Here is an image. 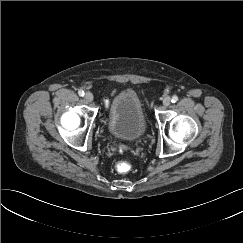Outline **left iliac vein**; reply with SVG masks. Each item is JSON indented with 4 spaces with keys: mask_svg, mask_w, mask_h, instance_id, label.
I'll list each match as a JSON object with an SVG mask.
<instances>
[{
    "mask_svg": "<svg viewBox=\"0 0 243 243\" xmlns=\"http://www.w3.org/2000/svg\"><path fill=\"white\" fill-rule=\"evenodd\" d=\"M170 103H171V98L168 97V96L164 97V99H163V105L164 106H168V105H170Z\"/></svg>",
    "mask_w": 243,
    "mask_h": 243,
    "instance_id": "4c4485c4",
    "label": "left iliac vein"
}]
</instances>
